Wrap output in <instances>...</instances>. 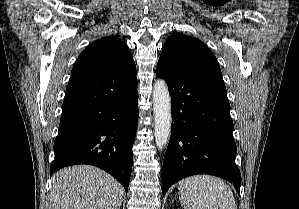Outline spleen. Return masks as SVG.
I'll use <instances>...</instances> for the list:
<instances>
[{
	"label": "spleen",
	"instance_id": "obj_1",
	"mask_svg": "<svg viewBox=\"0 0 299 209\" xmlns=\"http://www.w3.org/2000/svg\"><path fill=\"white\" fill-rule=\"evenodd\" d=\"M184 209H237L231 188L220 178L196 175L179 183Z\"/></svg>",
	"mask_w": 299,
	"mask_h": 209
}]
</instances>
